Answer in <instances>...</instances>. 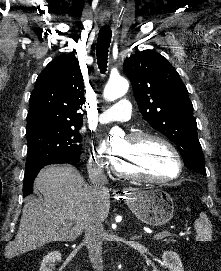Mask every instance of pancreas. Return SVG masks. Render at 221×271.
Returning a JSON list of instances; mask_svg holds the SVG:
<instances>
[{
	"mask_svg": "<svg viewBox=\"0 0 221 271\" xmlns=\"http://www.w3.org/2000/svg\"><path fill=\"white\" fill-rule=\"evenodd\" d=\"M174 244H176V239H165L166 247H174Z\"/></svg>",
	"mask_w": 221,
	"mask_h": 271,
	"instance_id": "pancreas-1",
	"label": "pancreas"
}]
</instances>
